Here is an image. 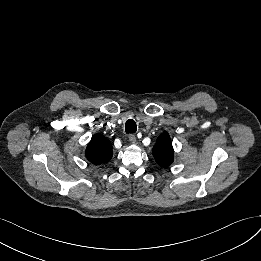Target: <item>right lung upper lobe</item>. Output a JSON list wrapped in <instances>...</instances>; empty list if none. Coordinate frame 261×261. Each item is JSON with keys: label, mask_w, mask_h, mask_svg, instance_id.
Returning a JSON list of instances; mask_svg holds the SVG:
<instances>
[{"label": "right lung upper lobe", "mask_w": 261, "mask_h": 261, "mask_svg": "<svg viewBox=\"0 0 261 261\" xmlns=\"http://www.w3.org/2000/svg\"><path fill=\"white\" fill-rule=\"evenodd\" d=\"M86 157L94 165L105 164L112 158V144L102 134L93 135L86 148Z\"/></svg>", "instance_id": "obj_1"}]
</instances>
